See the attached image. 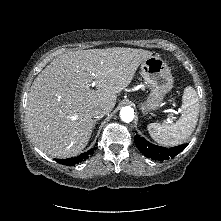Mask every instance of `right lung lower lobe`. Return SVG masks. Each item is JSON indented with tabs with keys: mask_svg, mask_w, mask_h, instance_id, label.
<instances>
[{
	"mask_svg": "<svg viewBox=\"0 0 221 221\" xmlns=\"http://www.w3.org/2000/svg\"><path fill=\"white\" fill-rule=\"evenodd\" d=\"M95 149L96 148H91L87 152H84L75 158L55 159V161L58 162L59 164H63L66 166H74L76 164L81 163L82 161H85L89 156L93 155Z\"/></svg>",
	"mask_w": 221,
	"mask_h": 221,
	"instance_id": "obj_1",
	"label": "right lung lower lobe"
}]
</instances>
